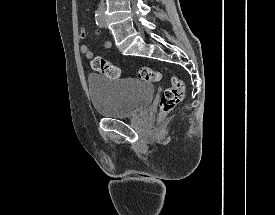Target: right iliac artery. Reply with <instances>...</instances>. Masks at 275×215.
I'll use <instances>...</instances> for the list:
<instances>
[{"label": "right iliac artery", "mask_w": 275, "mask_h": 215, "mask_svg": "<svg viewBox=\"0 0 275 215\" xmlns=\"http://www.w3.org/2000/svg\"><path fill=\"white\" fill-rule=\"evenodd\" d=\"M95 20H96V24L99 27H103L104 21H103V17H102V15H101L100 12H96V14H95Z\"/></svg>", "instance_id": "1"}]
</instances>
